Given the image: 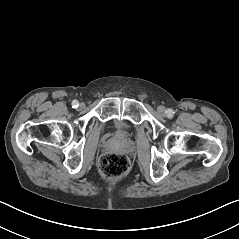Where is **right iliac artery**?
Segmentation results:
<instances>
[{
	"label": "right iliac artery",
	"instance_id": "82829eb1",
	"mask_svg": "<svg viewBox=\"0 0 239 239\" xmlns=\"http://www.w3.org/2000/svg\"><path fill=\"white\" fill-rule=\"evenodd\" d=\"M78 105H79V102H78L77 100H73V102H72V107H73V108H77Z\"/></svg>",
	"mask_w": 239,
	"mask_h": 239
}]
</instances>
